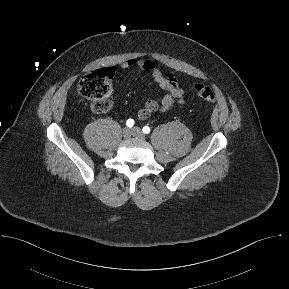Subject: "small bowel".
<instances>
[{"instance_id": "1", "label": "small bowel", "mask_w": 289, "mask_h": 289, "mask_svg": "<svg viewBox=\"0 0 289 289\" xmlns=\"http://www.w3.org/2000/svg\"><path fill=\"white\" fill-rule=\"evenodd\" d=\"M121 67L124 69L138 68L149 72L163 91L160 102L148 100L144 106L137 111L136 116L139 120H145L153 113H166L176 107H182L184 105L185 95L183 89L180 87L179 77L173 74L165 76L153 60L130 59L123 62Z\"/></svg>"}]
</instances>
